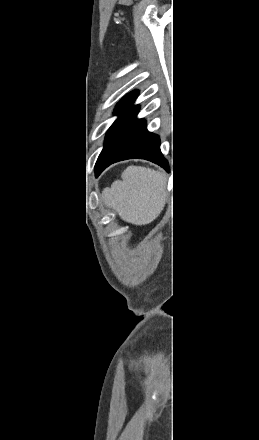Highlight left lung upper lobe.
Returning <instances> with one entry per match:
<instances>
[{
	"mask_svg": "<svg viewBox=\"0 0 259 440\" xmlns=\"http://www.w3.org/2000/svg\"><path fill=\"white\" fill-rule=\"evenodd\" d=\"M138 93L137 91H133L126 95L117 105L115 108V114H118V119L113 123V125L110 127V129L107 132L106 140L104 147L107 145L113 134L115 133L116 129L120 125V123L123 121V119L129 114V112L132 110L133 102L135 101Z\"/></svg>",
	"mask_w": 259,
	"mask_h": 440,
	"instance_id": "left-lung-upper-lobe-1",
	"label": "left lung upper lobe"
}]
</instances>
